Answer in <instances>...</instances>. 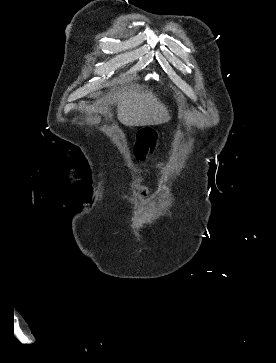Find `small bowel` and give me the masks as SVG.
<instances>
[{
	"instance_id": "small-bowel-1",
	"label": "small bowel",
	"mask_w": 276,
	"mask_h": 363,
	"mask_svg": "<svg viewBox=\"0 0 276 363\" xmlns=\"http://www.w3.org/2000/svg\"><path fill=\"white\" fill-rule=\"evenodd\" d=\"M142 192H143V194H147V193H149V190L147 188H143Z\"/></svg>"
}]
</instances>
